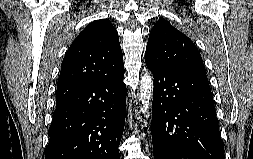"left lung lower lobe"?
<instances>
[{"mask_svg":"<svg viewBox=\"0 0 253 159\" xmlns=\"http://www.w3.org/2000/svg\"><path fill=\"white\" fill-rule=\"evenodd\" d=\"M147 67L154 75V159H225L207 75Z\"/></svg>","mask_w":253,"mask_h":159,"instance_id":"1","label":"left lung lower lobe"}]
</instances>
